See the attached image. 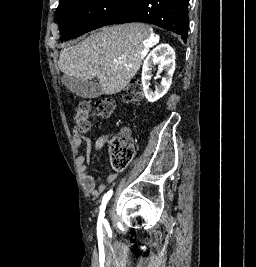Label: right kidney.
Returning a JSON list of instances; mask_svg holds the SVG:
<instances>
[{"label": "right kidney", "instance_id": "right-kidney-1", "mask_svg": "<svg viewBox=\"0 0 256 267\" xmlns=\"http://www.w3.org/2000/svg\"><path fill=\"white\" fill-rule=\"evenodd\" d=\"M158 64V74H161L162 70H165V78L161 80V86L155 88V92L150 88V80L152 78L151 70ZM175 72V52L169 44H160L156 46L150 54H148L146 60L143 62L142 66V84L144 94L148 102H157L159 98H163L167 94L171 84L173 74ZM157 78H161L158 76Z\"/></svg>", "mask_w": 256, "mask_h": 267}]
</instances>
